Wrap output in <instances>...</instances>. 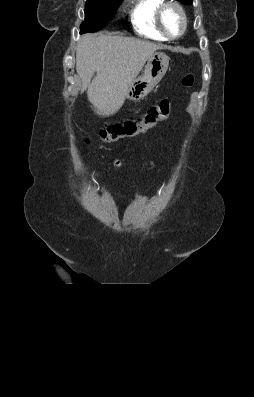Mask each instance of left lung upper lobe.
Segmentation results:
<instances>
[{"mask_svg": "<svg viewBox=\"0 0 254 397\" xmlns=\"http://www.w3.org/2000/svg\"><path fill=\"white\" fill-rule=\"evenodd\" d=\"M184 4H191L193 0H178Z\"/></svg>", "mask_w": 254, "mask_h": 397, "instance_id": "1", "label": "left lung upper lobe"}]
</instances>
